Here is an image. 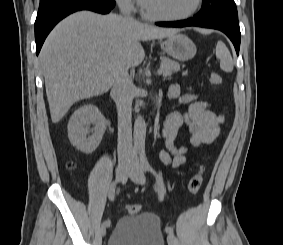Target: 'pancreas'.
Listing matches in <instances>:
<instances>
[{
	"label": "pancreas",
	"instance_id": "pancreas-1",
	"mask_svg": "<svg viewBox=\"0 0 283 245\" xmlns=\"http://www.w3.org/2000/svg\"><path fill=\"white\" fill-rule=\"evenodd\" d=\"M161 69L164 76H171L173 72L180 70V64L166 57H161ZM187 73L184 72L183 75Z\"/></svg>",
	"mask_w": 283,
	"mask_h": 245
}]
</instances>
